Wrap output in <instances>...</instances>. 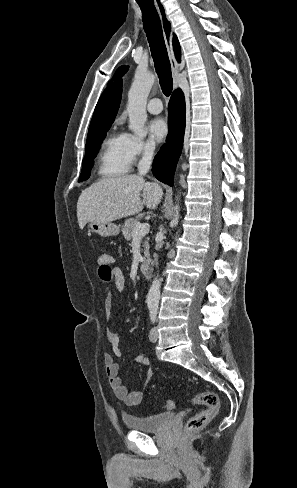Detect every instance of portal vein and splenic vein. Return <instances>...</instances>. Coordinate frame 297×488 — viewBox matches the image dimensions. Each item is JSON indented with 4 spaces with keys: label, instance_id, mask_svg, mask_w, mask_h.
I'll list each match as a JSON object with an SVG mask.
<instances>
[{
    "label": "portal vein and splenic vein",
    "instance_id": "obj_1",
    "mask_svg": "<svg viewBox=\"0 0 297 488\" xmlns=\"http://www.w3.org/2000/svg\"><path fill=\"white\" fill-rule=\"evenodd\" d=\"M148 223H137L134 227L133 240H137L145 236L149 232Z\"/></svg>",
    "mask_w": 297,
    "mask_h": 488
}]
</instances>
